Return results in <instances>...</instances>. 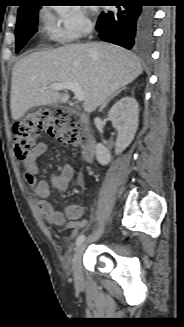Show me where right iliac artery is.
<instances>
[{"label": "right iliac artery", "mask_w": 184, "mask_h": 327, "mask_svg": "<svg viewBox=\"0 0 184 327\" xmlns=\"http://www.w3.org/2000/svg\"><path fill=\"white\" fill-rule=\"evenodd\" d=\"M85 240V235H80L76 240V246L79 247Z\"/></svg>", "instance_id": "82829eb1"}]
</instances>
